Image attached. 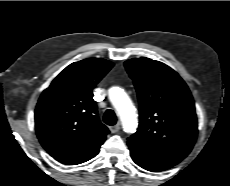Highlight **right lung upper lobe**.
<instances>
[{"label":"right lung upper lobe","instance_id":"right-lung-upper-lobe-1","mask_svg":"<svg viewBox=\"0 0 230 186\" xmlns=\"http://www.w3.org/2000/svg\"><path fill=\"white\" fill-rule=\"evenodd\" d=\"M113 67L91 58L67 66L43 91L35 109V129L44 149L67 165L98 154L109 133L98 118L92 89Z\"/></svg>","mask_w":230,"mask_h":186}]
</instances>
